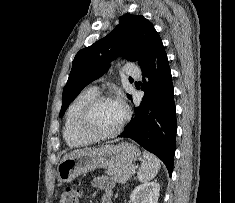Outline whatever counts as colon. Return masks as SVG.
<instances>
[{
    "instance_id": "colon-1",
    "label": "colon",
    "mask_w": 235,
    "mask_h": 203,
    "mask_svg": "<svg viewBox=\"0 0 235 203\" xmlns=\"http://www.w3.org/2000/svg\"><path fill=\"white\" fill-rule=\"evenodd\" d=\"M82 191L77 188L67 187L60 196V203H80Z\"/></svg>"
}]
</instances>
